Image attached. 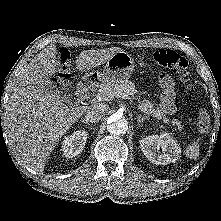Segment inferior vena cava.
<instances>
[{
	"instance_id": "1",
	"label": "inferior vena cava",
	"mask_w": 221,
	"mask_h": 221,
	"mask_svg": "<svg viewBox=\"0 0 221 221\" xmlns=\"http://www.w3.org/2000/svg\"><path fill=\"white\" fill-rule=\"evenodd\" d=\"M106 106L103 104H94L87 107L85 111V119L91 123H96L104 116Z\"/></svg>"
}]
</instances>
